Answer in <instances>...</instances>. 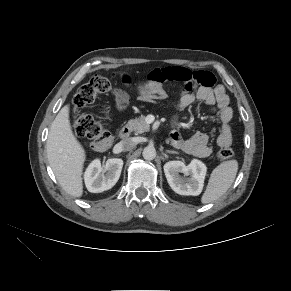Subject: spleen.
<instances>
[{"label":"spleen","instance_id":"spleen-1","mask_svg":"<svg viewBox=\"0 0 291 291\" xmlns=\"http://www.w3.org/2000/svg\"><path fill=\"white\" fill-rule=\"evenodd\" d=\"M238 171L237 160H228L220 163L211 173L208 185L201 202L208 204L223 196L233 184Z\"/></svg>","mask_w":291,"mask_h":291}]
</instances>
